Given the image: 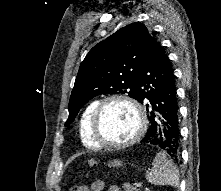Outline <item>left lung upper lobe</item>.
Listing matches in <instances>:
<instances>
[{
    "label": "left lung upper lobe",
    "instance_id": "5c2ea615",
    "mask_svg": "<svg viewBox=\"0 0 221 191\" xmlns=\"http://www.w3.org/2000/svg\"><path fill=\"white\" fill-rule=\"evenodd\" d=\"M153 39L142 23L135 22L95 45L80 64L65 125L98 95L121 93L137 100L138 77Z\"/></svg>",
    "mask_w": 221,
    "mask_h": 191
}]
</instances>
